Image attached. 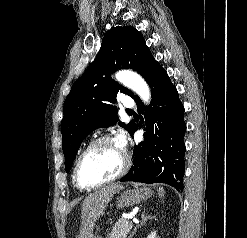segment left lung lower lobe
<instances>
[{
    "instance_id": "1",
    "label": "left lung lower lobe",
    "mask_w": 247,
    "mask_h": 238,
    "mask_svg": "<svg viewBox=\"0 0 247 238\" xmlns=\"http://www.w3.org/2000/svg\"><path fill=\"white\" fill-rule=\"evenodd\" d=\"M148 85L152 101L149 111L139 97L135 98L139 113H145L144 141L134 147L133 166L120 181L166 183L183 190L185 170L184 107L167 72L158 65L150 74ZM137 130L134 126L131 136Z\"/></svg>"
}]
</instances>
